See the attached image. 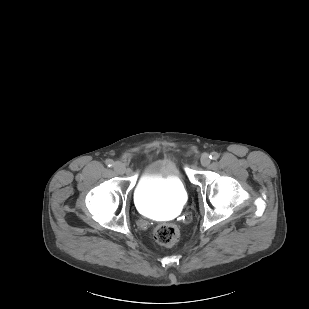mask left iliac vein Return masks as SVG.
<instances>
[{"mask_svg": "<svg viewBox=\"0 0 309 309\" xmlns=\"http://www.w3.org/2000/svg\"><path fill=\"white\" fill-rule=\"evenodd\" d=\"M200 162L201 165L206 167L210 164L211 160H210V156L206 153L202 154L201 158H200Z\"/></svg>", "mask_w": 309, "mask_h": 309, "instance_id": "left-iliac-vein-1", "label": "left iliac vein"}]
</instances>
